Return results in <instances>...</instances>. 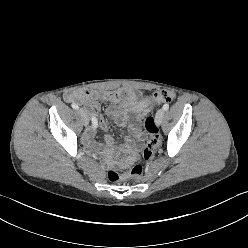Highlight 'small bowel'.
Masks as SVG:
<instances>
[{
	"mask_svg": "<svg viewBox=\"0 0 248 248\" xmlns=\"http://www.w3.org/2000/svg\"><path fill=\"white\" fill-rule=\"evenodd\" d=\"M65 100L67 102L78 101L87 108L96 111H99L97 102L107 103V114L113 119L115 125L119 128H125L128 125L129 135L123 137V145L116 147L115 139L112 136L105 137L103 146L95 143L93 141L94 127L86 130L83 141L88 147L100 150L107 156H111L113 153H125L126 156L122 161L114 162L115 164H129L134 161L137 154V145L143 141L144 136L138 124L134 122L128 123V117L133 114L137 120H140L146 115L152 108L148 98L143 97L138 90L121 88L108 91L88 89L71 91L65 94ZM120 101L122 102L120 103ZM99 127L103 130L107 129V123L103 117L99 118Z\"/></svg>",
	"mask_w": 248,
	"mask_h": 248,
	"instance_id": "small-bowel-1",
	"label": "small bowel"
}]
</instances>
